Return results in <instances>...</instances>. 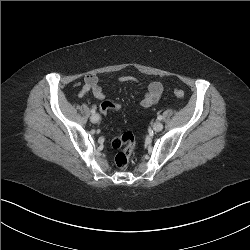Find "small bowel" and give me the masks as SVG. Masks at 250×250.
Returning <instances> with one entry per match:
<instances>
[{
	"mask_svg": "<svg viewBox=\"0 0 250 250\" xmlns=\"http://www.w3.org/2000/svg\"><path fill=\"white\" fill-rule=\"evenodd\" d=\"M118 81L137 83V84L140 83L138 78L131 75L120 76L118 78ZM88 92H92L94 98L99 100H103L107 96L106 93L102 90L101 86L99 85V80L95 75H86L84 77V84L79 91V96H84ZM162 93H163V86L160 82L152 81L148 83L147 91L144 94V97L141 101L142 107L149 108L157 104L161 98Z\"/></svg>",
	"mask_w": 250,
	"mask_h": 250,
	"instance_id": "c3829d8e",
	"label": "small bowel"
}]
</instances>
